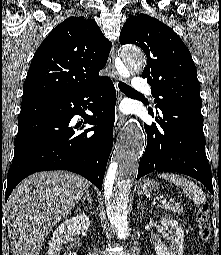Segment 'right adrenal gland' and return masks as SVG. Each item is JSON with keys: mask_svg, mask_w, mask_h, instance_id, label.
<instances>
[{"mask_svg": "<svg viewBox=\"0 0 221 255\" xmlns=\"http://www.w3.org/2000/svg\"><path fill=\"white\" fill-rule=\"evenodd\" d=\"M87 200L90 204V209H92V199L89 193V190L86 192V195L81 199V202Z\"/></svg>", "mask_w": 221, "mask_h": 255, "instance_id": "obj_1", "label": "right adrenal gland"}]
</instances>
